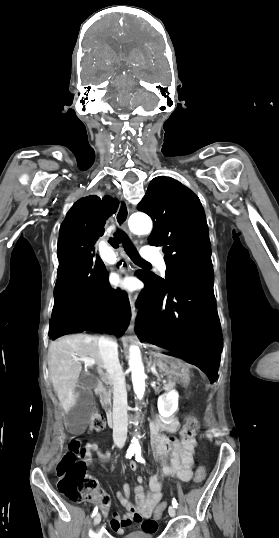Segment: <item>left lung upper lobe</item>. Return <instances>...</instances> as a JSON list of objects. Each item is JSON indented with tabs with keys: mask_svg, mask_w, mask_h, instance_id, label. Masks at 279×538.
<instances>
[{
	"mask_svg": "<svg viewBox=\"0 0 279 538\" xmlns=\"http://www.w3.org/2000/svg\"><path fill=\"white\" fill-rule=\"evenodd\" d=\"M138 209L154 221L149 243L162 246L166 280L148 273L160 291L182 279L213 271L209 231L199 198L178 181L158 176L147 189Z\"/></svg>",
	"mask_w": 279,
	"mask_h": 538,
	"instance_id": "5c2ea615",
	"label": "left lung upper lobe"
}]
</instances>
